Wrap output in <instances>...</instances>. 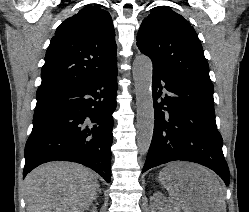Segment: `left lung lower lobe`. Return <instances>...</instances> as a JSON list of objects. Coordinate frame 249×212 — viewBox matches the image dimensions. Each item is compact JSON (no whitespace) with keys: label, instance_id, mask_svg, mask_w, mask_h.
<instances>
[{"label":"left lung lower lobe","instance_id":"obj_1","mask_svg":"<svg viewBox=\"0 0 249 212\" xmlns=\"http://www.w3.org/2000/svg\"><path fill=\"white\" fill-rule=\"evenodd\" d=\"M152 93L155 124L142 173L170 161H190L212 169L229 185L213 87L153 67Z\"/></svg>","mask_w":249,"mask_h":212}]
</instances>
